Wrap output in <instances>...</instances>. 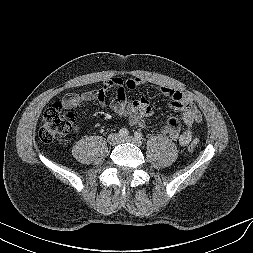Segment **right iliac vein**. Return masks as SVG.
<instances>
[{
  "label": "right iliac vein",
  "instance_id": "right-iliac-vein-1",
  "mask_svg": "<svg viewBox=\"0 0 253 253\" xmlns=\"http://www.w3.org/2000/svg\"><path fill=\"white\" fill-rule=\"evenodd\" d=\"M107 141H108V143H109L110 145L115 146V145H117V144L120 143L121 138H120V135H119V134H117V133H112V134H110V135L108 136Z\"/></svg>",
  "mask_w": 253,
  "mask_h": 253
}]
</instances>
